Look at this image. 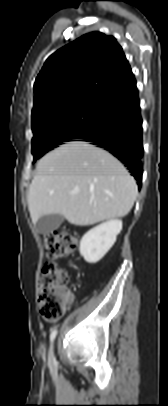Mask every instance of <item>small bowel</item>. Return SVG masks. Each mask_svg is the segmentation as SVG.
<instances>
[{"instance_id":"obj_1","label":"small bowel","mask_w":168,"mask_h":406,"mask_svg":"<svg viewBox=\"0 0 168 406\" xmlns=\"http://www.w3.org/2000/svg\"><path fill=\"white\" fill-rule=\"evenodd\" d=\"M74 295L71 291L66 290V295H65V302L67 305L71 304L73 302Z\"/></svg>"}]
</instances>
